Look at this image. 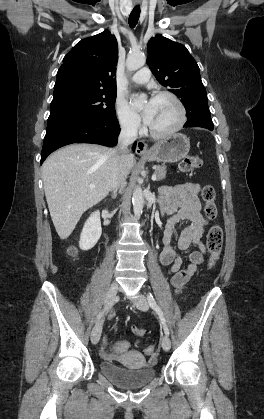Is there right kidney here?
Returning a JSON list of instances; mask_svg holds the SVG:
<instances>
[{
  "label": "right kidney",
  "mask_w": 264,
  "mask_h": 419,
  "mask_svg": "<svg viewBox=\"0 0 264 419\" xmlns=\"http://www.w3.org/2000/svg\"><path fill=\"white\" fill-rule=\"evenodd\" d=\"M102 234L100 212H93L85 222L81 232L79 247L82 250H89L93 248Z\"/></svg>",
  "instance_id": "right-kidney-1"
}]
</instances>
